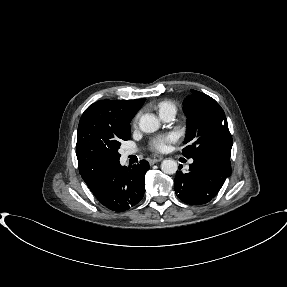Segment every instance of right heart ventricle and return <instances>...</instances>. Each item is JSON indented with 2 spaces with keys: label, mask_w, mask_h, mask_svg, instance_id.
Segmentation results:
<instances>
[{
  "label": "right heart ventricle",
  "mask_w": 287,
  "mask_h": 287,
  "mask_svg": "<svg viewBox=\"0 0 287 287\" xmlns=\"http://www.w3.org/2000/svg\"><path fill=\"white\" fill-rule=\"evenodd\" d=\"M157 109L159 111V114L169 110L176 112V106L170 101L159 102L157 105Z\"/></svg>",
  "instance_id": "obj_1"
}]
</instances>
